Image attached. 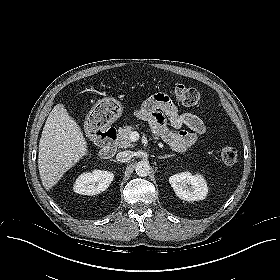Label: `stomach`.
Segmentation results:
<instances>
[{"label":"stomach","instance_id":"obj_1","mask_svg":"<svg viewBox=\"0 0 280 280\" xmlns=\"http://www.w3.org/2000/svg\"><path fill=\"white\" fill-rule=\"evenodd\" d=\"M123 107L121 103L114 98H104L100 100L93 108V112L110 124L116 121L122 114Z\"/></svg>","mask_w":280,"mask_h":280}]
</instances>
